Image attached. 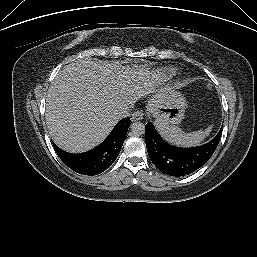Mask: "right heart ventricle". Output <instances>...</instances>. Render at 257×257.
Instances as JSON below:
<instances>
[{
    "label": "right heart ventricle",
    "instance_id": "obj_1",
    "mask_svg": "<svg viewBox=\"0 0 257 257\" xmlns=\"http://www.w3.org/2000/svg\"><path fill=\"white\" fill-rule=\"evenodd\" d=\"M174 74H175V69L168 67V68L160 69L157 72V77L162 81H166L172 78Z\"/></svg>",
    "mask_w": 257,
    "mask_h": 257
}]
</instances>
